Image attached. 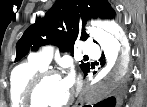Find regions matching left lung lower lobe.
<instances>
[{"label": "left lung lower lobe", "mask_w": 147, "mask_h": 107, "mask_svg": "<svg viewBox=\"0 0 147 107\" xmlns=\"http://www.w3.org/2000/svg\"><path fill=\"white\" fill-rule=\"evenodd\" d=\"M103 59H104V56H102V58L100 59L101 65H104ZM88 72H90V69L85 73V75H87ZM125 94H126V88H125V86H121V87L118 88L117 94H116L115 97H110L108 99H105V100L95 104L94 106L88 105V106H85V107H117L115 105L121 104L122 99L125 96Z\"/></svg>", "instance_id": "1"}]
</instances>
